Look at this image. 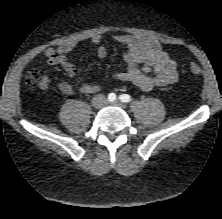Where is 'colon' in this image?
<instances>
[{
    "label": "colon",
    "mask_w": 222,
    "mask_h": 219,
    "mask_svg": "<svg viewBox=\"0 0 222 219\" xmlns=\"http://www.w3.org/2000/svg\"><path fill=\"white\" fill-rule=\"evenodd\" d=\"M188 71L195 76H200L202 74V69L199 65L194 62H187L186 63ZM26 83L29 86L37 85L39 81V72L36 69H31L27 72L25 77Z\"/></svg>",
    "instance_id": "obj_1"
}]
</instances>
